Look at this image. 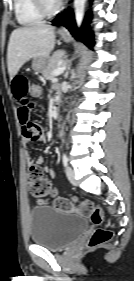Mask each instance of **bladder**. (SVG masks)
I'll list each match as a JSON object with an SVG mask.
<instances>
[{
    "label": "bladder",
    "mask_w": 134,
    "mask_h": 281,
    "mask_svg": "<svg viewBox=\"0 0 134 281\" xmlns=\"http://www.w3.org/2000/svg\"><path fill=\"white\" fill-rule=\"evenodd\" d=\"M88 228L85 216L37 206L30 212V239L45 248L60 251L71 245Z\"/></svg>",
    "instance_id": "1"
}]
</instances>
